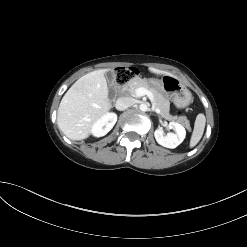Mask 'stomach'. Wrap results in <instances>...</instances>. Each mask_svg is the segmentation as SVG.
<instances>
[{
    "label": "stomach",
    "mask_w": 247,
    "mask_h": 247,
    "mask_svg": "<svg viewBox=\"0 0 247 247\" xmlns=\"http://www.w3.org/2000/svg\"><path fill=\"white\" fill-rule=\"evenodd\" d=\"M153 81L156 87L170 98L178 108H184L191 103V92L177 77L164 75L161 80Z\"/></svg>",
    "instance_id": "obj_1"
}]
</instances>
